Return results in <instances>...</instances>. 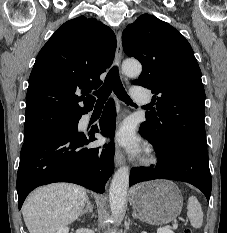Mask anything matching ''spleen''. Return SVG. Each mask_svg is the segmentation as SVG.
I'll list each match as a JSON object with an SVG mask.
<instances>
[{
    "label": "spleen",
    "instance_id": "spleen-1",
    "mask_svg": "<svg viewBox=\"0 0 227 233\" xmlns=\"http://www.w3.org/2000/svg\"><path fill=\"white\" fill-rule=\"evenodd\" d=\"M187 210V216L191 225L196 229L200 228L203 223V211L195 196H191L188 199Z\"/></svg>",
    "mask_w": 227,
    "mask_h": 233
}]
</instances>
